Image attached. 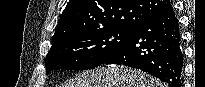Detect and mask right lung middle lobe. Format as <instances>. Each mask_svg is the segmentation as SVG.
<instances>
[{
  "label": "right lung middle lobe",
  "instance_id": "1",
  "mask_svg": "<svg viewBox=\"0 0 205 87\" xmlns=\"http://www.w3.org/2000/svg\"><path fill=\"white\" fill-rule=\"evenodd\" d=\"M133 32L106 28L59 40L46 55V73L55 69L85 70L100 66L128 41Z\"/></svg>",
  "mask_w": 205,
  "mask_h": 87
}]
</instances>
